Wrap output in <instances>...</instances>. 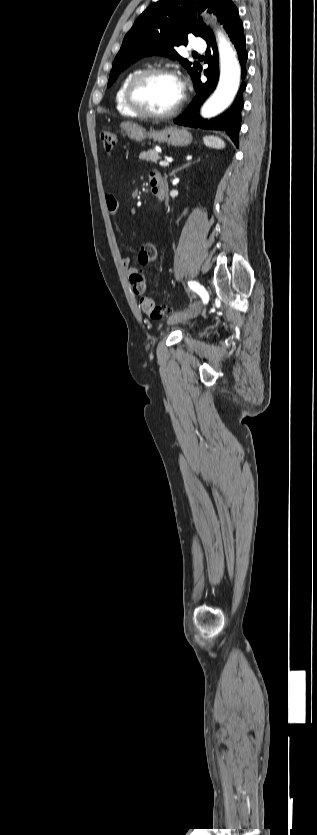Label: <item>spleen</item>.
I'll use <instances>...</instances> for the list:
<instances>
[{"mask_svg":"<svg viewBox=\"0 0 317 835\" xmlns=\"http://www.w3.org/2000/svg\"><path fill=\"white\" fill-rule=\"evenodd\" d=\"M204 143L207 147L214 148V149H223L225 148V142L217 137V136H204L203 137Z\"/></svg>","mask_w":317,"mask_h":835,"instance_id":"obj_1","label":"spleen"}]
</instances>
